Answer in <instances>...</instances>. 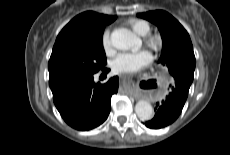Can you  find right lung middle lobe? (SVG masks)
<instances>
[{"label":"right lung middle lobe","mask_w":230,"mask_h":155,"mask_svg":"<svg viewBox=\"0 0 230 155\" xmlns=\"http://www.w3.org/2000/svg\"><path fill=\"white\" fill-rule=\"evenodd\" d=\"M106 65L102 38L92 43H69L53 47L48 63L49 76L69 73H96Z\"/></svg>","instance_id":"obj_1"}]
</instances>
